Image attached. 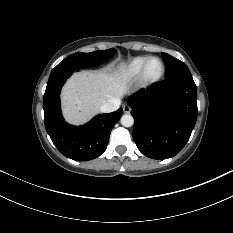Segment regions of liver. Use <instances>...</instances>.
<instances>
[{
	"instance_id": "liver-1",
	"label": "liver",
	"mask_w": 233,
	"mask_h": 233,
	"mask_svg": "<svg viewBox=\"0 0 233 233\" xmlns=\"http://www.w3.org/2000/svg\"><path fill=\"white\" fill-rule=\"evenodd\" d=\"M128 91L129 77L124 64L116 70L104 68L74 73L61 94L65 120L82 125L99 113L103 104L119 99Z\"/></svg>"
}]
</instances>
